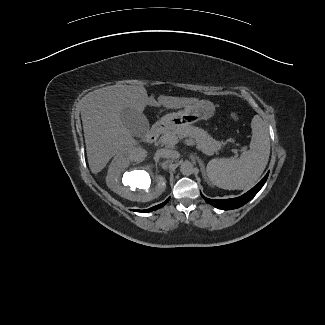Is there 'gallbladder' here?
<instances>
[{"mask_svg":"<svg viewBox=\"0 0 325 325\" xmlns=\"http://www.w3.org/2000/svg\"><path fill=\"white\" fill-rule=\"evenodd\" d=\"M124 126L131 134L138 138H144L149 130V122L146 116L133 109L126 108L121 113Z\"/></svg>","mask_w":325,"mask_h":325,"instance_id":"obj_1","label":"gallbladder"}]
</instances>
